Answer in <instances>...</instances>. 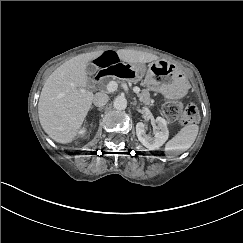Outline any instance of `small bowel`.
Instances as JSON below:
<instances>
[{
    "label": "small bowel",
    "instance_id": "obj_1",
    "mask_svg": "<svg viewBox=\"0 0 243 243\" xmlns=\"http://www.w3.org/2000/svg\"><path fill=\"white\" fill-rule=\"evenodd\" d=\"M93 62L102 69H108L112 66L126 63L122 55L114 50H107L100 53L97 57H95Z\"/></svg>",
    "mask_w": 243,
    "mask_h": 243
}]
</instances>
